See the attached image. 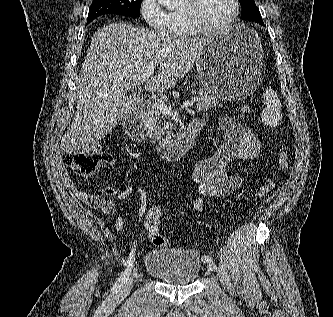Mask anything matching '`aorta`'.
Here are the masks:
<instances>
[{"label":"aorta","instance_id":"aorta-1","mask_svg":"<svg viewBox=\"0 0 333 317\" xmlns=\"http://www.w3.org/2000/svg\"><path fill=\"white\" fill-rule=\"evenodd\" d=\"M182 0H158V3L168 9H174L181 4Z\"/></svg>","mask_w":333,"mask_h":317}]
</instances>
